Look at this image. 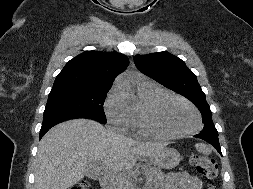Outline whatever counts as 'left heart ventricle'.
I'll use <instances>...</instances> for the list:
<instances>
[{
  "label": "left heart ventricle",
  "instance_id": "obj_1",
  "mask_svg": "<svg viewBox=\"0 0 253 189\" xmlns=\"http://www.w3.org/2000/svg\"><path fill=\"white\" fill-rule=\"evenodd\" d=\"M157 119L160 124L172 132H186L197 125L196 115L186 104L165 98L157 109Z\"/></svg>",
  "mask_w": 253,
  "mask_h": 189
}]
</instances>
